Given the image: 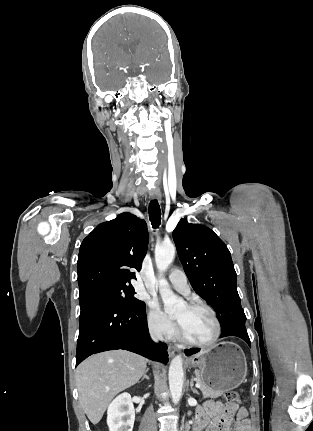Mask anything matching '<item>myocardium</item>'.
I'll use <instances>...</instances> for the list:
<instances>
[{
    "instance_id": "myocardium-1",
    "label": "myocardium",
    "mask_w": 313,
    "mask_h": 431,
    "mask_svg": "<svg viewBox=\"0 0 313 431\" xmlns=\"http://www.w3.org/2000/svg\"><path fill=\"white\" fill-rule=\"evenodd\" d=\"M189 309H203L205 311H207L214 323H215V334L213 336V338L208 341V342H204V343H199V342H194L190 339H188L182 332L180 326L177 324V337L178 339L185 345L191 346V347H197V348H208L213 346L214 344H216V342L219 340L221 333H222V326H221V322L216 314V312L208 305L202 303V302H195V301H191L185 304Z\"/></svg>"
}]
</instances>
